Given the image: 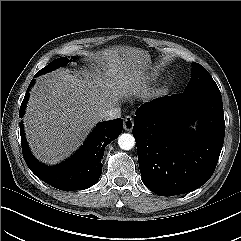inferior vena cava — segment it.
<instances>
[{"mask_svg":"<svg viewBox=\"0 0 241 241\" xmlns=\"http://www.w3.org/2000/svg\"><path fill=\"white\" fill-rule=\"evenodd\" d=\"M121 116V109L120 107H113L108 110H104L100 113V118L103 120H112L119 118Z\"/></svg>","mask_w":241,"mask_h":241,"instance_id":"obj_1","label":"inferior vena cava"}]
</instances>
